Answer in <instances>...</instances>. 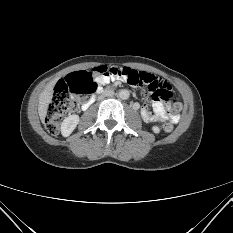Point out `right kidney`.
I'll use <instances>...</instances> for the list:
<instances>
[{
    "label": "right kidney",
    "instance_id": "ca27d5eb",
    "mask_svg": "<svg viewBox=\"0 0 233 233\" xmlns=\"http://www.w3.org/2000/svg\"><path fill=\"white\" fill-rule=\"evenodd\" d=\"M79 123V116L76 114L66 117L61 124V133L68 137Z\"/></svg>",
    "mask_w": 233,
    "mask_h": 233
}]
</instances>
